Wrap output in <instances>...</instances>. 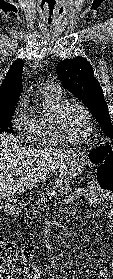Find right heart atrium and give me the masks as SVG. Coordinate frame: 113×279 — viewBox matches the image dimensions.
Returning a JSON list of instances; mask_svg holds the SVG:
<instances>
[{"instance_id":"obj_1","label":"right heart atrium","mask_w":113,"mask_h":279,"mask_svg":"<svg viewBox=\"0 0 113 279\" xmlns=\"http://www.w3.org/2000/svg\"><path fill=\"white\" fill-rule=\"evenodd\" d=\"M29 117L26 114V99H21L12 118L13 127L17 130L26 129Z\"/></svg>"}]
</instances>
